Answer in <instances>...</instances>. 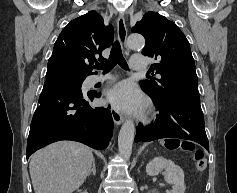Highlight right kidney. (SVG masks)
I'll use <instances>...</instances> for the list:
<instances>
[{
    "mask_svg": "<svg viewBox=\"0 0 237 193\" xmlns=\"http://www.w3.org/2000/svg\"><path fill=\"white\" fill-rule=\"evenodd\" d=\"M81 193H88L87 191L81 192Z\"/></svg>",
    "mask_w": 237,
    "mask_h": 193,
    "instance_id": "ca27d5eb",
    "label": "right kidney"
}]
</instances>
